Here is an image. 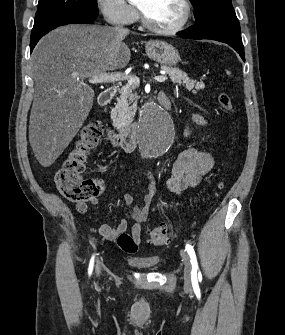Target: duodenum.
Segmentation results:
<instances>
[{"instance_id":"1","label":"duodenum","mask_w":285,"mask_h":335,"mask_svg":"<svg viewBox=\"0 0 285 335\" xmlns=\"http://www.w3.org/2000/svg\"><path fill=\"white\" fill-rule=\"evenodd\" d=\"M116 91L117 89L114 86L104 90L99 96L100 105L106 106L109 104L115 96ZM161 103L164 107H169L170 105L168 99H162ZM107 137L114 146L120 147L126 152H132L137 144V124H131L119 131L108 128Z\"/></svg>"}]
</instances>
